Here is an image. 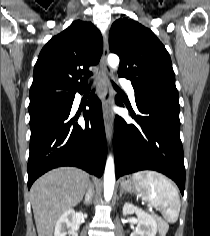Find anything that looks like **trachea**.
<instances>
[{
    "instance_id": "obj_1",
    "label": "trachea",
    "mask_w": 210,
    "mask_h": 236,
    "mask_svg": "<svg viewBox=\"0 0 210 236\" xmlns=\"http://www.w3.org/2000/svg\"><path fill=\"white\" fill-rule=\"evenodd\" d=\"M113 86H114V88L116 89V90H119L120 91V89L113 83Z\"/></svg>"
}]
</instances>
